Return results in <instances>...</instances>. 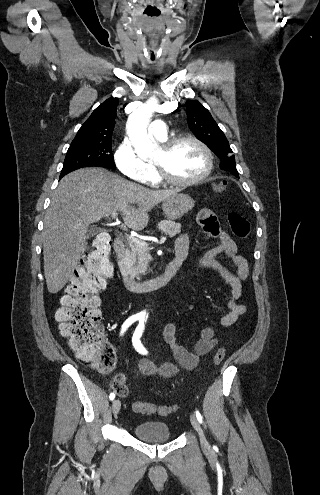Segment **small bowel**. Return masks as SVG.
I'll return each instance as SVG.
<instances>
[{"instance_id":"1","label":"small bowel","mask_w":320,"mask_h":495,"mask_svg":"<svg viewBox=\"0 0 320 495\" xmlns=\"http://www.w3.org/2000/svg\"><path fill=\"white\" fill-rule=\"evenodd\" d=\"M198 221L202 226L204 239L206 241L215 240L217 245L204 253L195 267L193 275H197L203 268H209L218 272L229 285L231 291L230 299L227 303L228 313L220 318L219 325L230 327L237 324L239 318L246 311V306L238 303V299L242 294V281L249 274L248 263L238 253L235 240L228 234L211 210L203 209L199 213ZM175 248L178 251H188L189 236L187 233L177 238ZM221 254L230 259V267L224 266L216 259ZM177 329L175 322L166 324L162 330V337L165 343L170 346L178 365L172 363L157 365L149 358L143 357L139 361V368L144 375L168 378L175 376L180 369L192 370L197 367L200 358L210 353L218 343L217 339L214 338V329L209 326L202 330L200 337L194 341L192 348L188 349L186 346L177 343Z\"/></svg>"}]
</instances>
